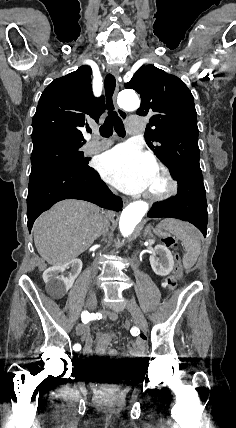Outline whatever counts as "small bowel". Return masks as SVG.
Masks as SVG:
<instances>
[{"label":"small bowel","mask_w":236,"mask_h":428,"mask_svg":"<svg viewBox=\"0 0 236 428\" xmlns=\"http://www.w3.org/2000/svg\"><path fill=\"white\" fill-rule=\"evenodd\" d=\"M103 316L110 321H115L117 319V316L114 313L110 312L104 313ZM77 332L84 341V354L86 356H90L93 352V340L91 337V331L89 326L81 324L78 326ZM113 339L114 336L112 333H99L96 337V353L98 355H105L107 353V347ZM145 346V338L140 336L134 341H129L124 351L119 352L115 349H112L108 352V355L112 358L122 357L128 362L139 361L142 359V356L145 351Z\"/></svg>","instance_id":"c3829d8e"}]
</instances>
